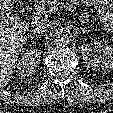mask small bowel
Returning <instances> with one entry per match:
<instances>
[{
  "instance_id": "small-bowel-1",
  "label": "small bowel",
  "mask_w": 113,
  "mask_h": 113,
  "mask_svg": "<svg viewBox=\"0 0 113 113\" xmlns=\"http://www.w3.org/2000/svg\"><path fill=\"white\" fill-rule=\"evenodd\" d=\"M72 1L76 3H87L90 6L98 7L100 9V13L106 15L107 17V26L110 29H113V16L109 13V11H107V7L113 4V0H72ZM89 18L90 14L87 11L83 12L82 19L87 21L89 20Z\"/></svg>"
}]
</instances>
